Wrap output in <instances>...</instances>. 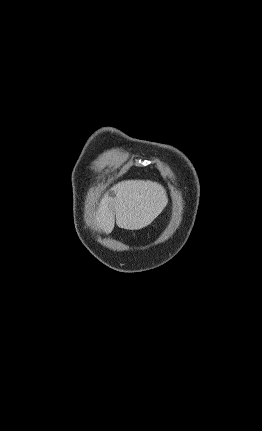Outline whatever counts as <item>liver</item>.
I'll return each instance as SVG.
<instances>
[{
  "mask_svg": "<svg viewBox=\"0 0 262 431\" xmlns=\"http://www.w3.org/2000/svg\"><path fill=\"white\" fill-rule=\"evenodd\" d=\"M115 198L106 194L96 213L97 226L106 234L115 224L127 230H139L153 222L163 211L168 198L163 186L144 180L122 181L113 187Z\"/></svg>",
  "mask_w": 262,
  "mask_h": 431,
  "instance_id": "6515ba94",
  "label": "liver"
}]
</instances>
